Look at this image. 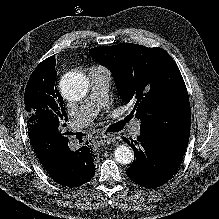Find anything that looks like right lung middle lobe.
<instances>
[{
    "mask_svg": "<svg viewBox=\"0 0 219 219\" xmlns=\"http://www.w3.org/2000/svg\"><path fill=\"white\" fill-rule=\"evenodd\" d=\"M55 61L40 63L31 74L25 89V109L28 129L51 126L61 133L68 117L63 108V99L53 85ZM56 79V78H55Z\"/></svg>",
    "mask_w": 219,
    "mask_h": 219,
    "instance_id": "obj_1",
    "label": "right lung middle lobe"
}]
</instances>
